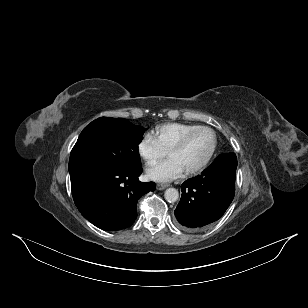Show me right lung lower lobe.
Listing matches in <instances>:
<instances>
[{
	"label": "right lung lower lobe",
	"instance_id": "1",
	"mask_svg": "<svg viewBox=\"0 0 308 308\" xmlns=\"http://www.w3.org/2000/svg\"><path fill=\"white\" fill-rule=\"evenodd\" d=\"M142 167L134 170L85 168L70 172L72 195L81 214L103 230L131 226L137 216V201L155 190L153 182L142 183Z\"/></svg>",
	"mask_w": 308,
	"mask_h": 308
}]
</instances>
